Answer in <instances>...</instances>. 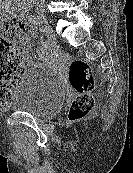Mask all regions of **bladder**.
<instances>
[{"label":"bladder","instance_id":"obj_1","mask_svg":"<svg viewBox=\"0 0 133 173\" xmlns=\"http://www.w3.org/2000/svg\"><path fill=\"white\" fill-rule=\"evenodd\" d=\"M66 86L57 71L45 64L27 68L7 103V109L51 118L58 113Z\"/></svg>","mask_w":133,"mask_h":173}]
</instances>
